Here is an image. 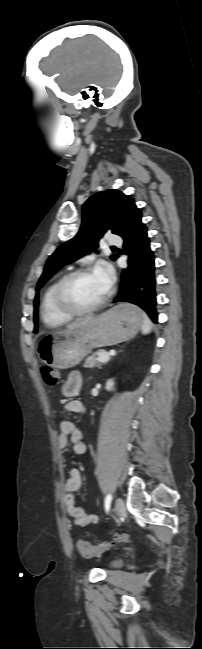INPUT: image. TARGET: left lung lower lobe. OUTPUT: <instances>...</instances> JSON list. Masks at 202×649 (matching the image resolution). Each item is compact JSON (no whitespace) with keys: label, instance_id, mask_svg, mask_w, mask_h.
<instances>
[{"label":"left lung lower lobe","instance_id":"left-lung-lower-lobe-1","mask_svg":"<svg viewBox=\"0 0 202 649\" xmlns=\"http://www.w3.org/2000/svg\"><path fill=\"white\" fill-rule=\"evenodd\" d=\"M122 237L125 240V253L130 255L129 267L121 273L120 289L114 302L136 304L157 323L155 257L150 248L147 227L142 223L141 216L132 221Z\"/></svg>","mask_w":202,"mask_h":649}]
</instances>
